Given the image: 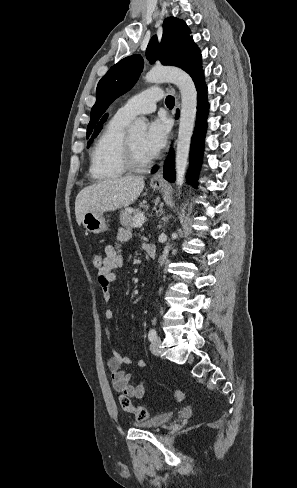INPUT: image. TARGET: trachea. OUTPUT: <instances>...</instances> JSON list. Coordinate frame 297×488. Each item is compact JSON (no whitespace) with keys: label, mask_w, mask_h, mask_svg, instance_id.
Returning a JSON list of instances; mask_svg holds the SVG:
<instances>
[{"label":"trachea","mask_w":297,"mask_h":488,"mask_svg":"<svg viewBox=\"0 0 297 488\" xmlns=\"http://www.w3.org/2000/svg\"><path fill=\"white\" fill-rule=\"evenodd\" d=\"M165 103H166L167 107H173L174 103H175L174 97L173 96H167Z\"/></svg>","instance_id":"1"}]
</instances>
